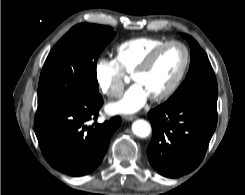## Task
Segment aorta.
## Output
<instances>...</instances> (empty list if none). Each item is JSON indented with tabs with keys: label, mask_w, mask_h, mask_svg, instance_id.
<instances>
[{
	"label": "aorta",
	"mask_w": 245,
	"mask_h": 195,
	"mask_svg": "<svg viewBox=\"0 0 245 195\" xmlns=\"http://www.w3.org/2000/svg\"><path fill=\"white\" fill-rule=\"evenodd\" d=\"M132 131L136 136L145 138L150 134L151 126L147 121L138 119L133 122Z\"/></svg>",
	"instance_id": "762f6f07"
}]
</instances>
